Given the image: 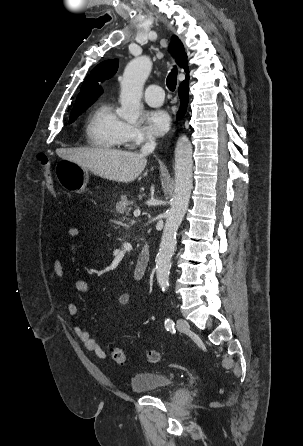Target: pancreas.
Wrapping results in <instances>:
<instances>
[{
	"instance_id": "obj_1",
	"label": "pancreas",
	"mask_w": 303,
	"mask_h": 446,
	"mask_svg": "<svg viewBox=\"0 0 303 446\" xmlns=\"http://www.w3.org/2000/svg\"><path fill=\"white\" fill-rule=\"evenodd\" d=\"M133 201H129L126 196H121L119 202L116 203V212L123 217L127 216L132 209Z\"/></svg>"
}]
</instances>
